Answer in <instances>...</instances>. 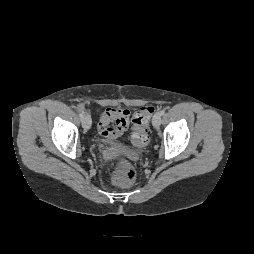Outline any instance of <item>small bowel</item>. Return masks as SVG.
Listing matches in <instances>:
<instances>
[{
	"mask_svg": "<svg viewBox=\"0 0 254 254\" xmlns=\"http://www.w3.org/2000/svg\"><path fill=\"white\" fill-rule=\"evenodd\" d=\"M79 108L86 112L85 104ZM130 125V111L120 107H110L103 111L98 122L99 134L108 140L120 137Z\"/></svg>",
	"mask_w": 254,
	"mask_h": 254,
	"instance_id": "c3829d8e",
	"label": "small bowel"
}]
</instances>
